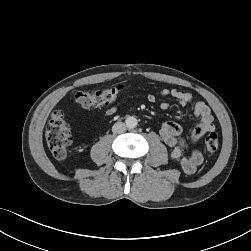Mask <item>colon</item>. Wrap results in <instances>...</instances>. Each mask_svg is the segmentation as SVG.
I'll list each match as a JSON object with an SVG mask.
<instances>
[{"label": "colon", "mask_w": 251, "mask_h": 251, "mask_svg": "<svg viewBox=\"0 0 251 251\" xmlns=\"http://www.w3.org/2000/svg\"><path fill=\"white\" fill-rule=\"evenodd\" d=\"M122 84L100 89L87 90L76 93L75 100L83 108H96L112 102L122 91ZM46 140L52 155L56 159H64L72 144L70 126L61 111H55L46 128ZM205 147L210 155H214L219 148V137L211 132L205 139Z\"/></svg>", "instance_id": "colon-1"}]
</instances>
